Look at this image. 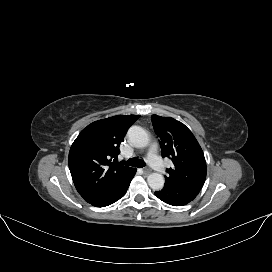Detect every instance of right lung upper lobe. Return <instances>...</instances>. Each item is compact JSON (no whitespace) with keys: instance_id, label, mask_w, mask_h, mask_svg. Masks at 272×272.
I'll use <instances>...</instances> for the list:
<instances>
[{"instance_id":"cb5924a9","label":"right lung upper lobe","mask_w":272,"mask_h":272,"mask_svg":"<svg viewBox=\"0 0 272 272\" xmlns=\"http://www.w3.org/2000/svg\"><path fill=\"white\" fill-rule=\"evenodd\" d=\"M139 115H117L84 128L69 152V169L82 198L91 203L113 190L135 168L117 163L119 146Z\"/></svg>"}]
</instances>
